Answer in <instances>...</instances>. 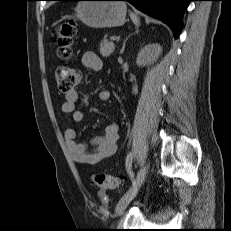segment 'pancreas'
<instances>
[{"mask_svg":"<svg viewBox=\"0 0 231 231\" xmlns=\"http://www.w3.org/2000/svg\"><path fill=\"white\" fill-rule=\"evenodd\" d=\"M115 49L114 43L107 40V36L100 43V53L103 57L110 56Z\"/></svg>","mask_w":231,"mask_h":231,"instance_id":"pancreas-1","label":"pancreas"}]
</instances>
